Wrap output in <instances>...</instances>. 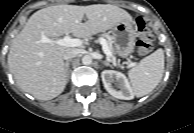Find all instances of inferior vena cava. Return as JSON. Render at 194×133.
Wrapping results in <instances>:
<instances>
[{"label": "inferior vena cava", "mask_w": 194, "mask_h": 133, "mask_svg": "<svg viewBox=\"0 0 194 133\" xmlns=\"http://www.w3.org/2000/svg\"><path fill=\"white\" fill-rule=\"evenodd\" d=\"M79 53V50L76 48H70L68 50H66V52L63 55V59L64 60H69L72 59L74 57H76Z\"/></svg>", "instance_id": "obj_1"}]
</instances>
